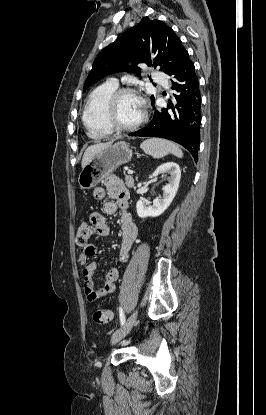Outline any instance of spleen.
<instances>
[{"instance_id": "1", "label": "spleen", "mask_w": 266, "mask_h": 415, "mask_svg": "<svg viewBox=\"0 0 266 415\" xmlns=\"http://www.w3.org/2000/svg\"><path fill=\"white\" fill-rule=\"evenodd\" d=\"M140 147L146 154L157 159L165 157L168 154H173L178 158L183 157L182 150L176 144L164 139H147L141 143Z\"/></svg>"}]
</instances>
